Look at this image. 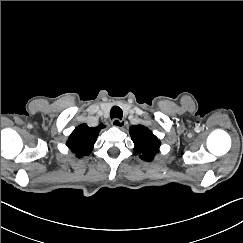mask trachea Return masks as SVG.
Wrapping results in <instances>:
<instances>
[{
    "label": "trachea",
    "instance_id": "obj_1",
    "mask_svg": "<svg viewBox=\"0 0 243 243\" xmlns=\"http://www.w3.org/2000/svg\"><path fill=\"white\" fill-rule=\"evenodd\" d=\"M123 112L122 109L119 106H113L110 111V117L111 118H118L122 119Z\"/></svg>",
    "mask_w": 243,
    "mask_h": 243
}]
</instances>
